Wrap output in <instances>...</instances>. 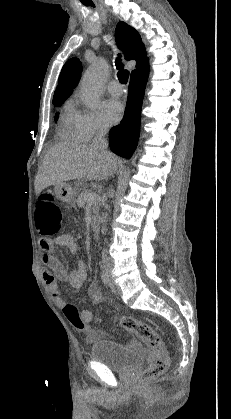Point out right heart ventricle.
Wrapping results in <instances>:
<instances>
[{
	"label": "right heart ventricle",
	"mask_w": 231,
	"mask_h": 419,
	"mask_svg": "<svg viewBox=\"0 0 231 419\" xmlns=\"http://www.w3.org/2000/svg\"><path fill=\"white\" fill-rule=\"evenodd\" d=\"M77 116L78 111L74 108L71 102H68L64 106L59 125V134L63 139L72 142L83 141L78 129Z\"/></svg>",
	"instance_id": "1"
}]
</instances>
